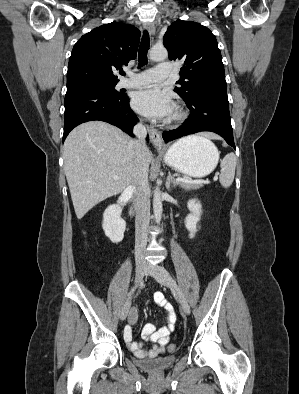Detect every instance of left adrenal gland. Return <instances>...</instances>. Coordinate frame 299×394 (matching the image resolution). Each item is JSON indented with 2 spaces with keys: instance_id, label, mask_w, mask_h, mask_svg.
<instances>
[{
  "instance_id": "left-adrenal-gland-1",
  "label": "left adrenal gland",
  "mask_w": 299,
  "mask_h": 394,
  "mask_svg": "<svg viewBox=\"0 0 299 394\" xmlns=\"http://www.w3.org/2000/svg\"><path fill=\"white\" fill-rule=\"evenodd\" d=\"M177 181H175V178L171 175V173L169 172V175L167 177L166 180V188L167 190L170 192L171 191V187H175L177 185Z\"/></svg>"
}]
</instances>
